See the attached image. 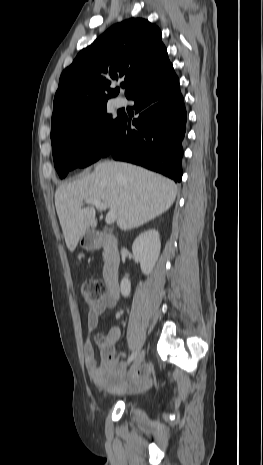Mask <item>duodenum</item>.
<instances>
[{
	"label": "duodenum",
	"instance_id": "410a0bca",
	"mask_svg": "<svg viewBox=\"0 0 263 465\" xmlns=\"http://www.w3.org/2000/svg\"><path fill=\"white\" fill-rule=\"evenodd\" d=\"M87 247L91 249L103 247L107 250V262L104 270L105 280L109 292L113 295H118L120 256L116 248L115 237L109 234L90 236L87 240Z\"/></svg>",
	"mask_w": 263,
	"mask_h": 465
}]
</instances>
